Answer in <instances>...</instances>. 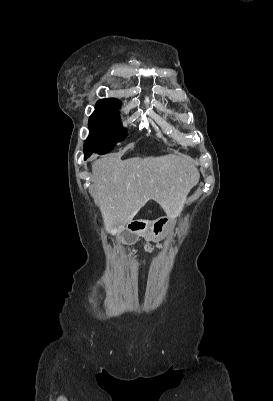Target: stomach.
Listing matches in <instances>:
<instances>
[{"mask_svg":"<svg viewBox=\"0 0 273 401\" xmlns=\"http://www.w3.org/2000/svg\"><path fill=\"white\" fill-rule=\"evenodd\" d=\"M172 219L170 217H159L155 221H148L145 227L141 229V235L151 239V241H162L164 239Z\"/></svg>","mask_w":273,"mask_h":401,"instance_id":"0dacf381","label":"stomach"}]
</instances>
